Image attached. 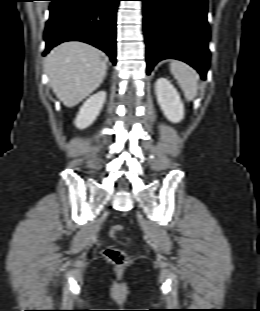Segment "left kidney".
Instances as JSON below:
<instances>
[{"instance_id":"5707ae66","label":"left kidney","mask_w":260,"mask_h":311,"mask_svg":"<svg viewBox=\"0 0 260 311\" xmlns=\"http://www.w3.org/2000/svg\"><path fill=\"white\" fill-rule=\"evenodd\" d=\"M155 92L158 104L166 118L172 123L180 122L184 117V105L170 81L163 77L157 79Z\"/></svg>"}]
</instances>
